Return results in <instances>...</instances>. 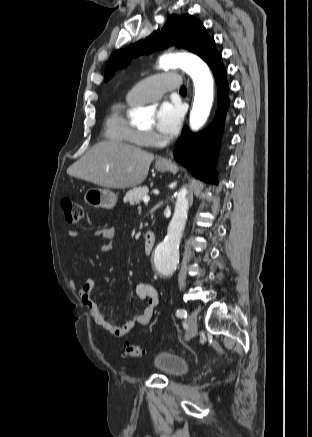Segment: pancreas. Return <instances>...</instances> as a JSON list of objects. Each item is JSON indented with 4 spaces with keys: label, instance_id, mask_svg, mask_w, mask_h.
<instances>
[{
    "label": "pancreas",
    "instance_id": "pancreas-1",
    "mask_svg": "<svg viewBox=\"0 0 312 437\" xmlns=\"http://www.w3.org/2000/svg\"><path fill=\"white\" fill-rule=\"evenodd\" d=\"M147 194H148V188L146 186L135 187L126 193L123 200L124 203L128 202L130 205H137Z\"/></svg>",
    "mask_w": 312,
    "mask_h": 437
}]
</instances>
